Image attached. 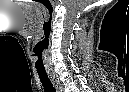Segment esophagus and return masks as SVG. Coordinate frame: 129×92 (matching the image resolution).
Wrapping results in <instances>:
<instances>
[{
	"instance_id": "obj_1",
	"label": "esophagus",
	"mask_w": 129,
	"mask_h": 92,
	"mask_svg": "<svg viewBox=\"0 0 129 92\" xmlns=\"http://www.w3.org/2000/svg\"><path fill=\"white\" fill-rule=\"evenodd\" d=\"M50 78L55 86V89L57 92H63V87L61 85V83L59 82V80L57 78H55V76L50 74Z\"/></svg>"
}]
</instances>
